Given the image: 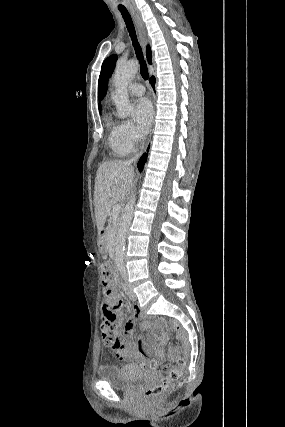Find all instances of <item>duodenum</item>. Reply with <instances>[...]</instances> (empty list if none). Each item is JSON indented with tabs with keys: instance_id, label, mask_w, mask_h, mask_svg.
<instances>
[{
	"instance_id": "1",
	"label": "duodenum",
	"mask_w": 285,
	"mask_h": 427,
	"mask_svg": "<svg viewBox=\"0 0 285 427\" xmlns=\"http://www.w3.org/2000/svg\"><path fill=\"white\" fill-rule=\"evenodd\" d=\"M106 234H107V229H102L99 233V240H100L101 245L104 244Z\"/></svg>"
}]
</instances>
